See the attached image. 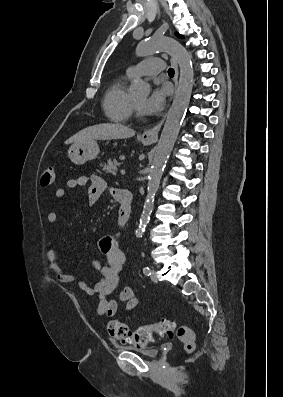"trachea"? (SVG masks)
<instances>
[{"label":"trachea","instance_id":"trachea-1","mask_svg":"<svg viewBox=\"0 0 283 397\" xmlns=\"http://www.w3.org/2000/svg\"><path fill=\"white\" fill-rule=\"evenodd\" d=\"M168 75L171 76V77L174 76V69L173 68H169Z\"/></svg>","mask_w":283,"mask_h":397}]
</instances>
